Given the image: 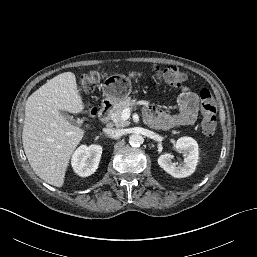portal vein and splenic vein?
Instances as JSON below:
<instances>
[{"instance_id":"obj_1","label":"portal vein and splenic vein","mask_w":257,"mask_h":257,"mask_svg":"<svg viewBox=\"0 0 257 257\" xmlns=\"http://www.w3.org/2000/svg\"><path fill=\"white\" fill-rule=\"evenodd\" d=\"M131 111L129 108H125L121 113L122 120H128L130 118Z\"/></svg>"}]
</instances>
